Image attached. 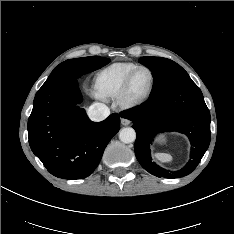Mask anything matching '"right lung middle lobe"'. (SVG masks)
Wrapping results in <instances>:
<instances>
[{
    "mask_svg": "<svg viewBox=\"0 0 234 234\" xmlns=\"http://www.w3.org/2000/svg\"><path fill=\"white\" fill-rule=\"evenodd\" d=\"M109 62L110 59L99 56L69 59L55 67L53 72L68 70L76 78H79L81 75L97 70L105 66Z\"/></svg>",
    "mask_w": 234,
    "mask_h": 234,
    "instance_id": "obj_1",
    "label": "right lung middle lobe"
}]
</instances>
